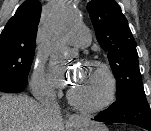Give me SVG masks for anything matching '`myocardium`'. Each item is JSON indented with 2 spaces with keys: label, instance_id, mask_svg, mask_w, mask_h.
<instances>
[{
  "label": "myocardium",
  "instance_id": "obj_1",
  "mask_svg": "<svg viewBox=\"0 0 151 131\" xmlns=\"http://www.w3.org/2000/svg\"><path fill=\"white\" fill-rule=\"evenodd\" d=\"M85 67L98 68L104 73L107 81V88L104 96L95 102H85L77 98L74 93L70 90L68 92V100L74 107L83 112H101L107 109L116 98L117 84L115 76L111 68L106 63L99 60H88L85 62Z\"/></svg>",
  "mask_w": 151,
  "mask_h": 131
}]
</instances>
